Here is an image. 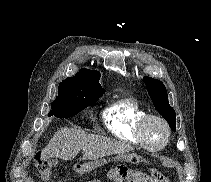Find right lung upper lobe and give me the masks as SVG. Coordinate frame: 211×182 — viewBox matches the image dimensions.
<instances>
[{
	"instance_id": "cb5924a9",
	"label": "right lung upper lobe",
	"mask_w": 211,
	"mask_h": 182,
	"mask_svg": "<svg viewBox=\"0 0 211 182\" xmlns=\"http://www.w3.org/2000/svg\"><path fill=\"white\" fill-rule=\"evenodd\" d=\"M100 73L83 68L73 77H68L65 80L73 82L77 85L93 88L99 92H105L99 83Z\"/></svg>"
}]
</instances>
